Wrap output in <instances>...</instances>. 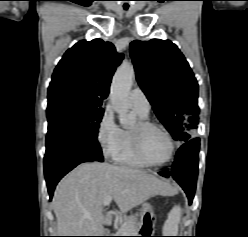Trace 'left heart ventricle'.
Segmentation results:
<instances>
[{"mask_svg":"<svg viewBox=\"0 0 248 237\" xmlns=\"http://www.w3.org/2000/svg\"><path fill=\"white\" fill-rule=\"evenodd\" d=\"M142 148L146 157L153 162L164 161L170 151L165 135L157 129H148L142 135Z\"/></svg>","mask_w":248,"mask_h":237,"instance_id":"b2bd125f","label":"left heart ventricle"}]
</instances>
